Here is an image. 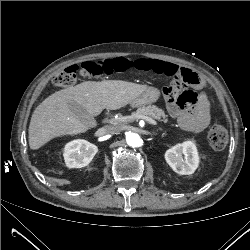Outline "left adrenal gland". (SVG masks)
Masks as SVG:
<instances>
[{
    "label": "left adrenal gland",
    "instance_id": "left-adrenal-gland-1",
    "mask_svg": "<svg viewBox=\"0 0 250 250\" xmlns=\"http://www.w3.org/2000/svg\"><path fill=\"white\" fill-rule=\"evenodd\" d=\"M160 131L162 130V129H159ZM154 135H157V132H155V133H153Z\"/></svg>",
    "mask_w": 250,
    "mask_h": 250
}]
</instances>
